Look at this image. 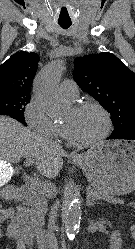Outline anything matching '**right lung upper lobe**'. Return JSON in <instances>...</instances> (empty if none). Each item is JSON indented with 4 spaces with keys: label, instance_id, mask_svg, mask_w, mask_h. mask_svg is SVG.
I'll return each instance as SVG.
<instances>
[{
    "label": "right lung upper lobe",
    "instance_id": "cb5924a9",
    "mask_svg": "<svg viewBox=\"0 0 135 249\" xmlns=\"http://www.w3.org/2000/svg\"><path fill=\"white\" fill-rule=\"evenodd\" d=\"M39 62L34 52H16L0 65V92L30 94Z\"/></svg>",
    "mask_w": 135,
    "mask_h": 249
}]
</instances>
